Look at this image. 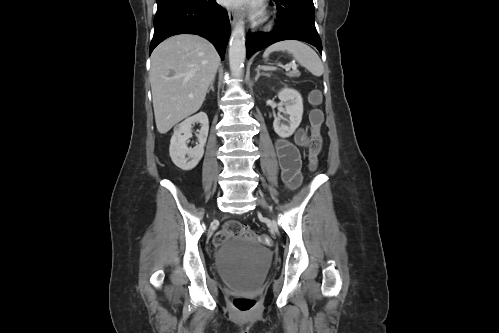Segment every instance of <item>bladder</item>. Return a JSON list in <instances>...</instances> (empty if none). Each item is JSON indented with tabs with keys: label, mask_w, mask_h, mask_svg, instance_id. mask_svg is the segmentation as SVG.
Listing matches in <instances>:
<instances>
[{
	"label": "bladder",
	"mask_w": 499,
	"mask_h": 333,
	"mask_svg": "<svg viewBox=\"0 0 499 333\" xmlns=\"http://www.w3.org/2000/svg\"><path fill=\"white\" fill-rule=\"evenodd\" d=\"M271 250L250 239L229 238L219 248L215 263L221 277L239 291L255 288L265 276Z\"/></svg>",
	"instance_id": "obj_1"
}]
</instances>
